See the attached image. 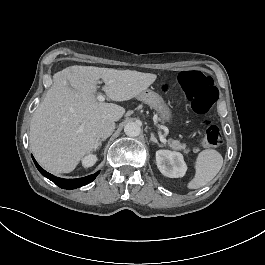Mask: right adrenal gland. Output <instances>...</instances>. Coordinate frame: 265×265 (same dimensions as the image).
Returning a JSON list of instances; mask_svg holds the SVG:
<instances>
[{"label": "right adrenal gland", "instance_id": "obj_1", "mask_svg": "<svg viewBox=\"0 0 265 265\" xmlns=\"http://www.w3.org/2000/svg\"><path fill=\"white\" fill-rule=\"evenodd\" d=\"M106 140V138H102V139H96V143H95V145H94V151L96 150V149H98V147H100V146H102V141H105Z\"/></svg>", "mask_w": 265, "mask_h": 265}]
</instances>
